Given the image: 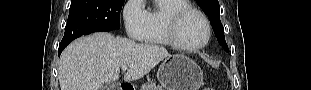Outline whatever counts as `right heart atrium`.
Listing matches in <instances>:
<instances>
[{"instance_id":"obj_1","label":"right heart atrium","mask_w":311,"mask_h":90,"mask_svg":"<svg viewBox=\"0 0 311 90\" xmlns=\"http://www.w3.org/2000/svg\"><path fill=\"white\" fill-rule=\"evenodd\" d=\"M122 16L128 38L141 40L146 29V9L143 1H127L122 10Z\"/></svg>"}]
</instances>
